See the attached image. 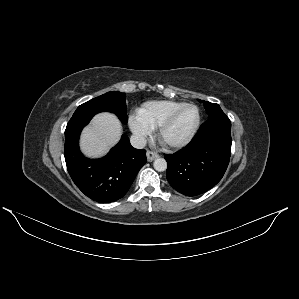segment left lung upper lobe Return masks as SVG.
Masks as SVG:
<instances>
[{"mask_svg":"<svg viewBox=\"0 0 299 299\" xmlns=\"http://www.w3.org/2000/svg\"><path fill=\"white\" fill-rule=\"evenodd\" d=\"M198 101L201 102V100ZM203 104L208 113V118L226 116L218 104L207 101H203Z\"/></svg>","mask_w":299,"mask_h":299,"instance_id":"left-lung-upper-lobe-1","label":"left lung upper lobe"}]
</instances>
